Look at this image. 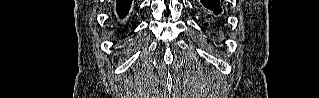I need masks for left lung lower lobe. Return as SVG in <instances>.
Returning <instances> with one entry per match:
<instances>
[{"label": "left lung lower lobe", "instance_id": "1", "mask_svg": "<svg viewBox=\"0 0 319 98\" xmlns=\"http://www.w3.org/2000/svg\"><path fill=\"white\" fill-rule=\"evenodd\" d=\"M202 9L212 18L218 17L221 13L219 0H201Z\"/></svg>", "mask_w": 319, "mask_h": 98}]
</instances>
